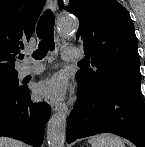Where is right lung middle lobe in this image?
I'll use <instances>...</instances> for the list:
<instances>
[{"instance_id":"obj_1","label":"right lung middle lobe","mask_w":145,"mask_h":147,"mask_svg":"<svg viewBox=\"0 0 145 147\" xmlns=\"http://www.w3.org/2000/svg\"><path fill=\"white\" fill-rule=\"evenodd\" d=\"M22 89L18 82V73L0 74V93L13 94Z\"/></svg>"}]
</instances>
